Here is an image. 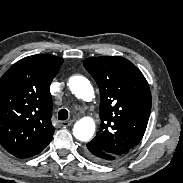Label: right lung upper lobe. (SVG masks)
I'll list each match as a JSON object with an SVG mask.
<instances>
[{"instance_id": "right-lung-upper-lobe-1", "label": "right lung upper lobe", "mask_w": 183, "mask_h": 183, "mask_svg": "<svg viewBox=\"0 0 183 183\" xmlns=\"http://www.w3.org/2000/svg\"><path fill=\"white\" fill-rule=\"evenodd\" d=\"M62 63L57 56L33 55L0 78V143L15 157H32L52 140L50 83Z\"/></svg>"}]
</instances>
